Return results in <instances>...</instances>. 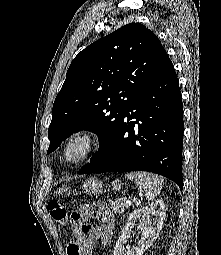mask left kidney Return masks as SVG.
Here are the masks:
<instances>
[{"label":"left kidney","mask_w":221,"mask_h":255,"mask_svg":"<svg viewBox=\"0 0 221 255\" xmlns=\"http://www.w3.org/2000/svg\"><path fill=\"white\" fill-rule=\"evenodd\" d=\"M164 218L165 204L161 199L132 212L127 219L125 227L122 229L121 236L116 242L113 255H143L159 236ZM137 221H140L141 239L135 246L130 247L127 245L125 248L129 228Z\"/></svg>","instance_id":"obj_1"}]
</instances>
